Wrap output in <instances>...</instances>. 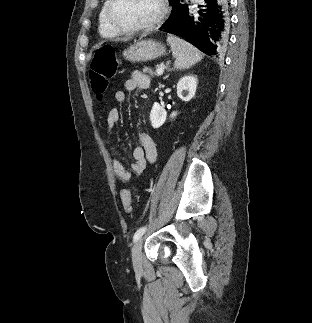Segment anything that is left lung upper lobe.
<instances>
[{"mask_svg":"<svg viewBox=\"0 0 312 323\" xmlns=\"http://www.w3.org/2000/svg\"><path fill=\"white\" fill-rule=\"evenodd\" d=\"M169 1H170V4H172V12H171V15L169 16V18L167 19V21L170 20L174 16V14L177 10V7L180 4V0H169Z\"/></svg>","mask_w":312,"mask_h":323,"instance_id":"obj_1","label":"left lung upper lobe"}]
</instances>
